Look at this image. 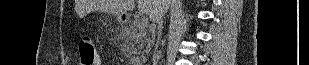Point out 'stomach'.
<instances>
[{
  "label": "stomach",
  "mask_w": 309,
  "mask_h": 65,
  "mask_svg": "<svg viewBox=\"0 0 309 65\" xmlns=\"http://www.w3.org/2000/svg\"><path fill=\"white\" fill-rule=\"evenodd\" d=\"M116 19L121 24H125L127 22V17L124 14L116 15Z\"/></svg>",
  "instance_id": "1"
}]
</instances>
